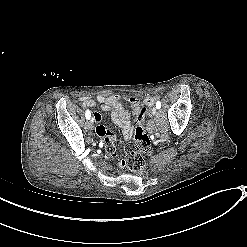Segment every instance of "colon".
Returning <instances> with one entry per match:
<instances>
[{"label":"colon","mask_w":247,"mask_h":247,"mask_svg":"<svg viewBox=\"0 0 247 247\" xmlns=\"http://www.w3.org/2000/svg\"><path fill=\"white\" fill-rule=\"evenodd\" d=\"M145 108L138 107L136 112L137 125L134 132V142L125 145L126 167L132 171H140L143 166L142 153L151 152V141L144 127Z\"/></svg>","instance_id":"colon-1"}]
</instances>
